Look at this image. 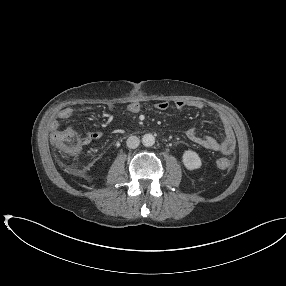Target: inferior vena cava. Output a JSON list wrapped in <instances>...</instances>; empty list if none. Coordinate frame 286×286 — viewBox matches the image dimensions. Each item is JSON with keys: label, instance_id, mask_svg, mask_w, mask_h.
<instances>
[{"label": "inferior vena cava", "instance_id": "602c4592", "mask_svg": "<svg viewBox=\"0 0 286 286\" xmlns=\"http://www.w3.org/2000/svg\"><path fill=\"white\" fill-rule=\"evenodd\" d=\"M127 146L131 149H135L139 146L140 140L136 136H130L126 142Z\"/></svg>", "mask_w": 286, "mask_h": 286}]
</instances>
